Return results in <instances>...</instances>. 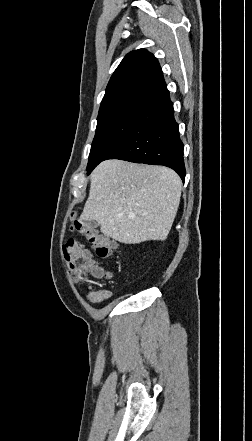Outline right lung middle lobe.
Returning a JSON list of instances; mask_svg holds the SVG:
<instances>
[{
	"mask_svg": "<svg viewBox=\"0 0 252 441\" xmlns=\"http://www.w3.org/2000/svg\"><path fill=\"white\" fill-rule=\"evenodd\" d=\"M146 105V100L120 104L99 112L96 134L93 139L87 172L90 173L129 134L137 123Z\"/></svg>",
	"mask_w": 252,
	"mask_h": 441,
	"instance_id": "dd1d6c3e",
	"label": "right lung middle lobe"
}]
</instances>
